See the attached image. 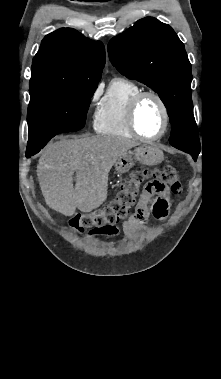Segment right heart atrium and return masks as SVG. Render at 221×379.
<instances>
[{
  "instance_id": "obj_1",
  "label": "right heart atrium",
  "mask_w": 221,
  "mask_h": 379,
  "mask_svg": "<svg viewBox=\"0 0 221 379\" xmlns=\"http://www.w3.org/2000/svg\"><path fill=\"white\" fill-rule=\"evenodd\" d=\"M100 93H101V88L100 87L96 88L90 97V101L95 102L100 96Z\"/></svg>"
}]
</instances>
